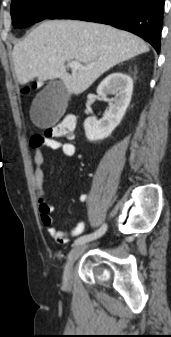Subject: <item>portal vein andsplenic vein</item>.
<instances>
[{
  "label": "portal vein and splenic vein",
  "mask_w": 171,
  "mask_h": 337,
  "mask_svg": "<svg viewBox=\"0 0 171 337\" xmlns=\"http://www.w3.org/2000/svg\"><path fill=\"white\" fill-rule=\"evenodd\" d=\"M70 68L72 70H78V69H85L79 62L77 61H71L70 62Z\"/></svg>",
  "instance_id": "obj_1"
}]
</instances>
